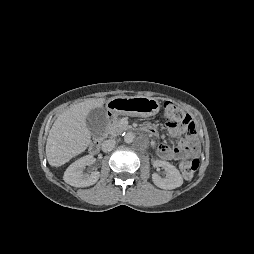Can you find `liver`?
Instances as JSON below:
<instances>
[{"mask_svg": "<svg viewBox=\"0 0 254 254\" xmlns=\"http://www.w3.org/2000/svg\"><path fill=\"white\" fill-rule=\"evenodd\" d=\"M106 103L104 98H91L73 105L55 120L46 143V157L51 166L60 167L88 147L91 133L86 125L89 112Z\"/></svg>", "mask_w": 254, "mask_h": 254, "instance_id": "1", "label": "liver"}]
</instances>
